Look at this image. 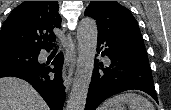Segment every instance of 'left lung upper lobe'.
Here are the masks:
<instances>
[{
	"label": "left lung upper lobe",
	"instance_id": "1",
	"mask_svg": "<svg viewBox=\"0 0 171 110\" xmlns=\"http://www.w3.org/2000/svg\"><path fill=\"white\" fill-rule=\"evenodd\" d=\"M85 15L96 20L98 38L127 52L147 57L138 23L127 8L116 1H91Z\"/></svg>",
	"mask_w": 171,
	"mask_h": 110
}]
</instances>
